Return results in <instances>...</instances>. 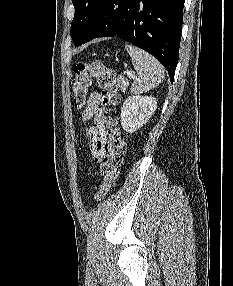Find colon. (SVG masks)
Here are the masks:
<instances>
[{
  "label": "colon",
  "mask_w": 233,
  "mask_h": 286,
  "mask_svg": "<svg viewBox=\"0 0 233 286\" xmlns=\"http://www.w3.org/2000/svg\"><path fill=\"white\" fill-rule=\"evenodd\" d=\"M73 70V102L75 107L82 108L91 81L96 80L102 91V105L108 113H113L120 101L116 76L113 70L106 67L101 61L77 62ZM107 139L104 144L106 151L102 159V181L96 192V199H103L115 186L120 173V167L125 152V143L121 136L117 117L110 115L107 118Z\"/></svg>",
  "instance_id": "1"
}]
</instances>
